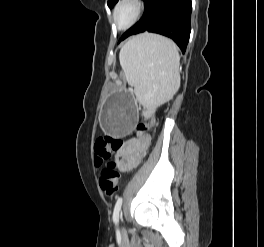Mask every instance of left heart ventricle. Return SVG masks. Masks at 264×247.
<instances>
[{"label":"left heart ventricle","mask_w":264,"mask_h":247,"mask_svg":"<svg viewBox=\"0 0 264 247\" xmlns=\"http://www.w3.org/2000/svg\"><path fill=\"white\" fill-rule=\"evenodd\" d=\"M131 16H132V8L126 5L120 10L118 14V22L123 25L129 21Z\"/></svg>","instance_id":"b2bd125f"}]
</instances>
